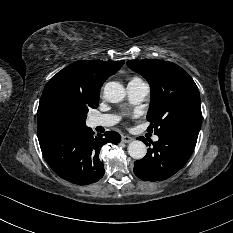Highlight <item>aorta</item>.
Wrapping results in <instances>:
<instances>
[{
  "label": "aorta",
  "instance_id": "obj_1",
  "mask_svg": "<svg viewBox=\"0 0 233 233\" xmlns=\"http://www.w3.org/2000/svg\"><path fill=\"white\" fill-rule=\"evenodd\" d=\"M105 98L111 103H118L122 101L126 95L125 88L116 81L106 83L104 87ZM129 155L136 160L145 157L147 153L146 145L139 140L132 141L128 146Z\"/></svg>",
  "mask_w": 233,
  "mask_h": 233
}]
</instances>
